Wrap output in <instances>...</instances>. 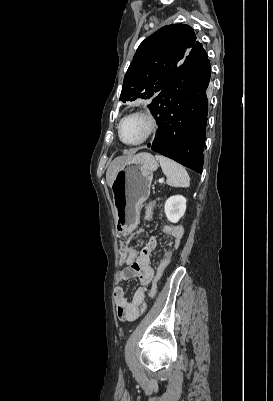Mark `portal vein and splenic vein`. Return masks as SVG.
Here are the masks:
<instances>
[{
    "instance_id": "18ae733b",
    "label": "portal vein and splenic vein",
    "mask_w": 273,
    "mask_h": 401,
    "mask_svg": "<svg viewBox=\"0 0 273 401\" xmlns=\"http://www.w3.org/2000/svg\"><path fill=\"white\" fill-rule=\"evenodd\" d=\"M162 182H164V178H159V180L157 181V184H158V185H161Z\"/></svg>"
}]
</instances>
